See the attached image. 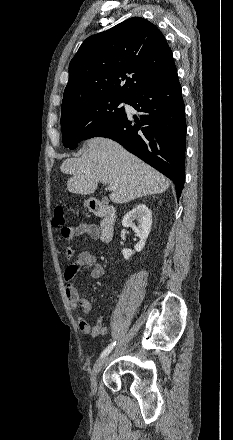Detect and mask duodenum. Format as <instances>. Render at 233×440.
I'll return each mask as SVG.
<instances>
[{"mask_svg": "<svg viewBox=\"0 0 233 440\" xmlns=\"http://www.w3.org/2000/svg\"><path fill=\"white\" fill-rule=\"evenodd\" d=\"M91 209L95 216L101 218L99 225V238L103 243L110 242L114 237L116 211L113 207L101 201L91 203Z\"/></svg>", "mask_w": 233, "mask_h": 440, "instance_id": "410a0bca", "label": "duodenum"}]
</instances>
